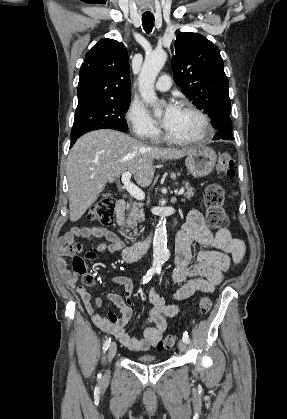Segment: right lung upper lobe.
<instances>
[{"label":"right lung upper lobe","instance_id":"right-lung-upper-lobe-1","mask_svg":"<svg viewBox=\"0 0 287 419\" xmlns=\"http://www.w3.org/2000/svg\"><path fill=\"white\" fill-rule=\"evenodd\" d=\"M77 109L131 96L126 47L112 39L100 40L85 56L80 68Z\"/></svg>","mask_w":287,"mask_h":419}]
</instances>
